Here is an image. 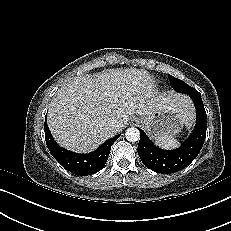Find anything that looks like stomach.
Instances as JSON below:
<instances>
[{
    "label": "stomach",
    "instance_id": "stomach-1",
    "mask_svg": "<svg viewBox=\"0 0 231 231\" xmlns=\"http://www.w3.org/2000/svg\"><path fill=\"white\" fill-rule=\"evenodd\" d=\"M140 122L153 139L164 135H175L183 126L181 112L173 106H168L150 115L140 116Z\"/></svg>",
    "mask_w": 231,
    "mask_h": 231
}]
</instances>
